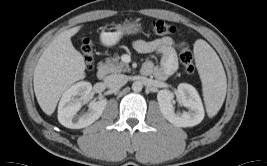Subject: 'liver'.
Masks as SVG:
<instances>
[{"label": "liver", "instance_id": "obj_1", "mask_svg": "<svg viewBox=\"0 0 267 166\" xmlns=\"http://www.w3.org/2000/svg\"><path fill=\"white\" fill-rule=\"evenodd\" d=\"M81 27L60 33L43 51L35 67L34 92L39 106L47 115L54 113L64 91L85 78L84 58L71 42V37Z\"/></svg>", "mask_w": 267, "mask_h": 166}]
</instances>
